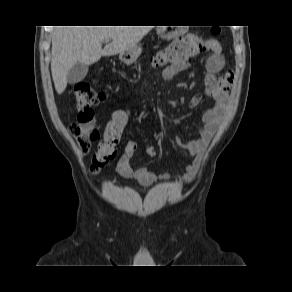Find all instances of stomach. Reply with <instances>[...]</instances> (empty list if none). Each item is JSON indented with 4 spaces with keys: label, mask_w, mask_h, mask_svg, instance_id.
Wrapping results in <instances>:
<instances>
[{
    "label": "stomach",
    "mask_w": 292,
    "mask_h": 292,
    "mask_svg": "<svg viewBox=\"0 0 292 292\" xmlns=\"http://www.w3.org/2000/svg\"><path fill=\"white\" fill-rule=\"evenodd\" d=\"M157 33L165 39H170L175 34V32L170 31L168 28L163 27V26L157 28ZM141 51H142L141 44H137L130 50L121 53L119 58L125 64L130 65L136 61V59L141 54Z\"/></svg>",
    "instance_id": "stomach-1"
}]
</instances>
